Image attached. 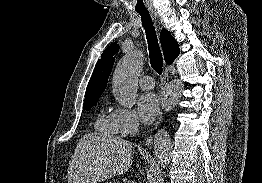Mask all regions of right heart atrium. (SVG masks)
Returning <instances> with one entry per match:
<instances>
[{
	"mask_svg": "<svg viewBox=\"0 0 262 183\" xmlns=\"http://www.w3.org/2000/svg\"><path fill=\"white\" fill-rule=\"evenodd\" d=\"M111 114L120 134L124 136H133L138 133L140 121L133 110L118 107L113 109Z\"/></svg>",
	"mask_w": 262,
	"mask_h": 183,
	"instance_id": "1",
	"label": "right heart atrium"
}]
</instances>
